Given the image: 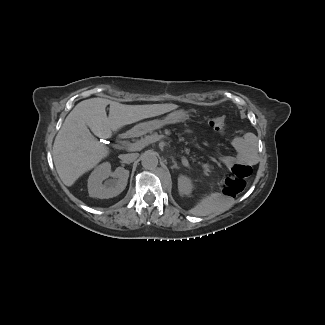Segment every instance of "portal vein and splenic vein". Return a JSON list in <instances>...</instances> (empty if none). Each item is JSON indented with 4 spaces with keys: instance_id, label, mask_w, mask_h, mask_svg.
I'll return each instance as SVG.
<instances>
[{
    "instance_id": "portal-vein-and-splenic-vein-1",
    "label": "portal vein and splenic vein",
    "mask_w": 325,
    "mask_h": 325,
    "mask_svg": "<svg viewBox=\"0 0 325 325\" xmlns=\"http://www.w3.org/2000/svg\"><path fill=\"white\" fill-rule=\"evenodd\" d=\"M164 136L163 135H160L158 140H160L161 138H163ZM152 142H155V139L152 138V137H149L148 139L144 140V141H140V142H136V143H130L128 146H127V149L129 151H139L141 150L142 148H144L147 144L149 143H152ZM182 163L184 166L188 167L189 166V163L188 161L182 157Z\"/></svg>"
}]
</instances>
